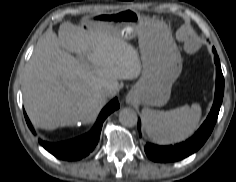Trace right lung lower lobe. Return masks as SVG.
I'll return each instance as SVG.
<instances>
[{"label": "right lung lower lobe", "instance_id": "1", "mask_svg": "<svg viewBox=\"0 0 236 182\" xmlns=\"http://www.w3.org/2000/svg\"><path fill=\"white\" fill-rule=\"evenodd\" d=\"M118 108L119 102L117 98H115L103 108L94 128L81 137L60 143H48L43 141H40V143L48 152L59 159L68 161L81 159L93 151L98 143L104 120L110 113ZM24 115L29 128L35 133L25 112Z\"/></svg>", "mask_w": 236, "mask_h": 182}]
</instances>
